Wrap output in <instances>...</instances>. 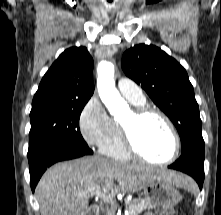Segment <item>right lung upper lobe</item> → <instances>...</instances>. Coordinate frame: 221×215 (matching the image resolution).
I'll return each instance as SVG.
<instances>
[{
	"mask_svg": "<svg viewBox=\"0 0 221 215\" xmlns=\"http://www.w3.org/2000/svg\"><path fill=\"white\" fill-rule=\"evenodd\" d=\"M93 59L85 47L65 50L43 76L32 105L48 101L87 102L94 92Z\"/></svg>",
	"mask_w": 221,
	"mask_h": 215,
	"instance_id": "obj_1",
	"label": "right lung upper lobe"
}]
</instances>
